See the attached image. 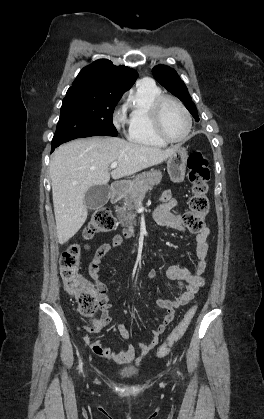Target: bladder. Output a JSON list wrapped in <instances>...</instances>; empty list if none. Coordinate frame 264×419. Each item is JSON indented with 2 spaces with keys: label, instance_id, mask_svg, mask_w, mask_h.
I'll return each mask as SVG.
<instances>
[{
  "label": "bladder",
  "instance_id": "31cf9c89",
  "mask_svg": "<svg viewBox=\"0 0 264 419\" xmlns=\"http://www.w3.org/2000/svg\"><path fill=\"white\" fill-rule=\"evenodd\" d=\"M138 374L137 370L135 369H125L118 372V376L124 379H130L135 377Z\"/></svg>",
  "mask_w": 264,
  "mask_h": 419
}]
</instances>
